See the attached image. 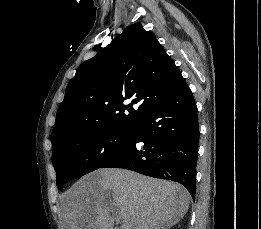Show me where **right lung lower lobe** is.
Returning <instances> with one entry per match:
<instances>
[{
    "mask_svg": "<svg viewBox=\"0 0 261 229\" xmlns=\"http://www.w3.org/2000/svg\"><path fill=\"white\" fill-rule=\"evenodd\" d=\"M199 135L197 106L183 78L137 126L129 147L101 168L175 181L194 200Z\"/></svg>",
    "mask_w": 261,
    "mask_h": 229,
    "instance_id": "98d812e1",
    "label": "right lung lower lobe"
}]
</instances>
